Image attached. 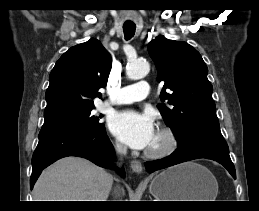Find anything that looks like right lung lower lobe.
I'll use <instances>...</instances> for the list:
<instances>
[{"mask_svg":"<svg viewBox=\"0 0 259 211\" xmlns=\"http://www.w3.org/2000/svg\"><path fill=\"white\" fill-rule=\"evenodd\" d=\"M66 156L86 158L98 166L113 168L114 149L105 127L98 130L46 128L39 133V142L32 157L30 187L33 188L42 170ZM124 175V169H120Z\"/></svg>","mask_w":259,"mask_h":211,"instance_id":"obj_1","label":"right lung lower lobe"}]
</instances>
